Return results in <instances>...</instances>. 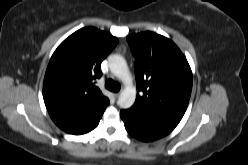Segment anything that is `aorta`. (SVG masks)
<instances>
[{"label":"aorta","mask_w":248,"mask_h":165,"mask_svg":"<svg viewBox=\"0 0 248 165\" xmlns=\"http://www.w3.org/2000/svg\"><path fill=\"white\" fill-rule=\"evenodd\" d=\"M110 71L125 84L118 98V105L122 109L130 108L136 99V88L132 85V78L125 59L118 54L110 55L108 58Z\"/></svg>","instance_id":"obj_1"}]
</instances>
